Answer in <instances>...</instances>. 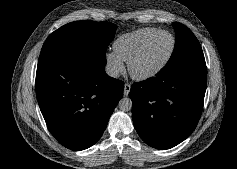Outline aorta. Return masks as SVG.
<instances>
[{
	"instance_id": "762f6f07",
	"label": "aorta",
	"mask_w": 237,
	"mask_h": 169,
	"mask_svg": "<svg viewBox=\"0 0 237 169\" xmlns=\"http://www.w3.org/2000/svg\"><path fill=\"white\" fill-rule=\"evenodd\" d=\"M133 103L132 100L128 97L122 98L119 103L118 107L121 111L128 112L132 109Z\"/></svg>"
}]
</instances>
